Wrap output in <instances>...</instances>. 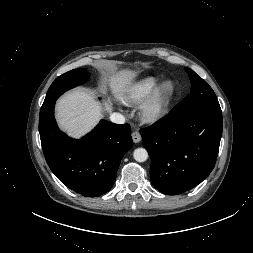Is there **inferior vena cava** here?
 Listing matches in <instances>:
<instances>
[{
    "label": "inferior vena cava",
    "mask_w": 253,
    "mask_h": 253,
    "mask_svg": "<svg viewBox=\"0 0 253 253\" xmlns=\"http://www.w3.org/2000/svg\"><path fill=\"white\" fill-rule=\"evenodd\" d=\"M110 121L116 124H123L125 123V118L120 113H112L110 115Z\"/></svg>",
    "instance_id": "602c4592"
}]
</instances>
